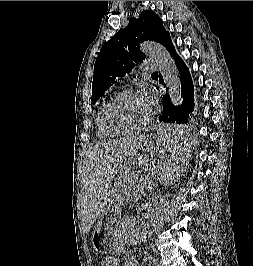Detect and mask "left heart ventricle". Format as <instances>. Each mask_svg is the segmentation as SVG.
Segmentation results:
<instances>
[{
  "instance_id": "b2bd125f",
  "label": "left heart ventricle",
  "mask_w": 253,
  "mask_h": 266,
  "mask_svg": "<svg viewBox=\"0 0 253 266\" xmlns=\"http://www.w3.org/2000/svg\"><path fill=\"white\" fill-rule=\"evenodd\" d=\"M149 115L148 106L142 95H127L117 100L108 113L111 125L120 128L134 127Z\"/></svg>"
}]
</instances>
